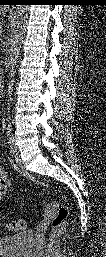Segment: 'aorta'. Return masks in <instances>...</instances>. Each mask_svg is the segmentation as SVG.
Segmentation results:
<instances>
[{"mask_svg":"<svg viewBox=\"0 0 106 257\" xmlns=\"http://www.w3.org/2000/svg\"><path fill=\"white\" fill-rule=\"evenodd\" d=\"M27 11L28 6L27 5H18L17 6V18H16V30L11 36V48H10V63L12 66V69L10 70V79L8 83V95L11 97V91L13 89L14 84V66L16 64V61L19 56L20 51V39H21V33L19 32V29L25 25L26 19H27ZM11 100V98H10ZM9 105V103H8Z\"/></svg>","mask_w":106,"mask_h":257,"instance_id":"762f6f07","label":"aorta"}]
</instances>
